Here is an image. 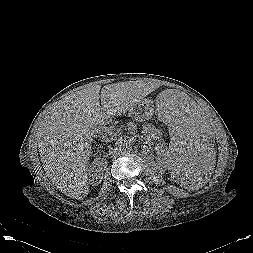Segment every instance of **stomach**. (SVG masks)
Here are the masks:
<instances>
[{
    "label": "stomach",
    "instance_id": "stomach-1",
    "mask_svg": "<svg viewBox=\"0 0 253 253\" xmlns=\"http://www.w3.org/2000/svg\"><path fill=\"white\" fill-rule=\"evenodd\" d=\"M154 112L152 102L149 100H143L129 110V116L135 121L144 122L151 119Z\"/></svg>",
    "mask_w": 253,
    "mask_h": 253
}]
</instances>
